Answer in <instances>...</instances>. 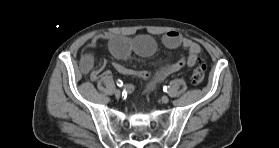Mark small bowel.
<instances>
[{"label": "small bowel", "instance_id": "small-bowel-1", "mask_svg": "<svg viewBox=\"0 0 279 148\" xmlns=\"http://www.w3.org/2000/svg\"><path fill=\"white\" fill-rule=\"evenodd\" d=\"M103 41L108 42L111 53L119 60H126L132 54L149 57L157 50L156 42L150 36L144 35L128 38L109 33L96 35L83 49L79 63L80 71L85 75H89L93 81L98 79L104 68V62L96 61L95 59V51ZM162 43L168 49H177L181 47L187 52V55L175 62L161 66L154 72L142 73L141 76L148 80L147 90H152L158 83H161L184 66L193 67L197 63L198 55L201 52V47L197 42L182 36L177 31H169L164 34ZM112 65L120 74H134L132 70L127 69L119 62H114ZM126 89L132 91L133 86L127 85Z\"/></svg>", "mask_w": 279, "mask_h": 148}]
</instances>
